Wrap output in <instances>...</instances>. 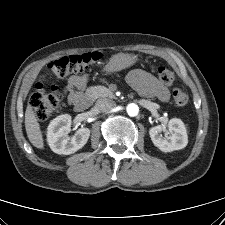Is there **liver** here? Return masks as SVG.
<instances>
[{"label": "liver", "instance_id": "1", "mask_svg": "<svg viewBox=\"0 0 225 225\" xmlns=\"http://www.w3.org/2000/svg\"><path fill=\"white\" fill-rule=\"evenodd\" d=\"M25 128L28 139L32 145L36 148L43 149V136L40 130V125L31 105H28L25 111Z\"/></svg>", "mask_w": 225, "mask_h": 225}]
</instances>
